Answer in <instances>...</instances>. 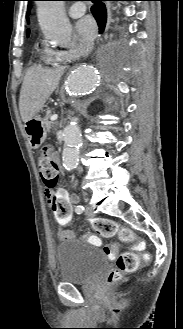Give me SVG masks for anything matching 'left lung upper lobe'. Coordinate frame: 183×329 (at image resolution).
Returning a JSON list of instances; mask_svg holds the SVG:
<instances>
[{"label": "left lung upper lobe", "mask_w": 183, "mask_h": 329, "mask_svg": "<svg viewBox=\"0 0 183 329\" xmlns=\"http://www.w3.org/2000/svg\"><path fill=\"white\" fill-rule=\"evenodd\" d=\"M28 1L30 2V1H34V0H28ZM30 9H31V6L29 4V6H28V15L30 14ZM27 20L29 21L28 17H27ZM27 35H29V29L27 30Z\"/></svg>", "instance_id": "5c2ea615"}]
</instances>
